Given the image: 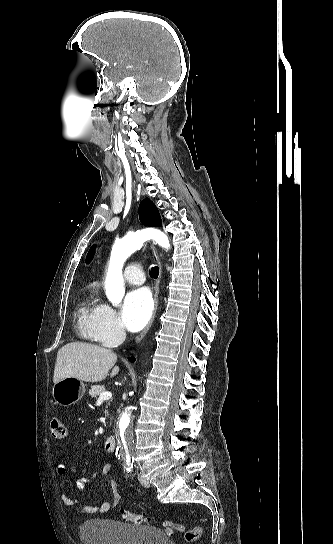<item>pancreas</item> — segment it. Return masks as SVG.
Masks as SVG:
<instances>
[{
  "label": "pancreas",
  "instance_id": "obj_1",
  "mask_svg": "<svg viewBox=\"0 0 333 544\" xmlns=\"http://www.w3.org/2000/svg\"><path fill=\"white\" fill-rule=\"evenodd\" d=\"M105 391H106V389H105V387L103 385H94V386H91V388L89 390V395L92 398H97L102 393H104Z\"/></svg>",
  "mask_w": 333,
  "mask_h": 544
}]
</instances>
